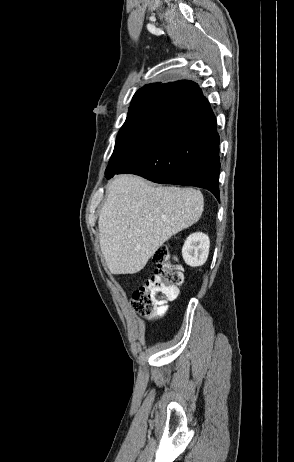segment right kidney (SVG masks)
I'll list each match as a JSON object with an SVG mask.
<instances>
[{
    "instance_id": "1",
    "label": "right kidney",
    "mask_w": 294,
    "mask_h": 462,
    "mask_svg": "<svg viewBox=\"0 0 294 462\" xmlns=\"http://www.w3.org/2000/svg\"><path fill=\"white\" fill-rule=\"evenodd\" d=\"M210 240L208 235L195 232L188 236L182 248L185 263L191 267L202 266L209 254Z\"/></svg>"
}]
</instances>
